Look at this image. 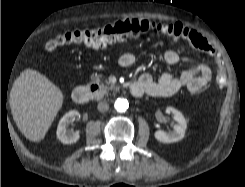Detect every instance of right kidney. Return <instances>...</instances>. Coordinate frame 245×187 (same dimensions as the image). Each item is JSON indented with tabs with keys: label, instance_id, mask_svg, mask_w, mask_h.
<instances>
[{
	"label": "right kidney",
	"instance_id": "obj_1",
	"mask_svg": "<svg viewBox=\"0 0 245 187\" xmlns=\"http://www.w3.org/2000/svg\"><path fill=\"white\" fill-rule=\"evenodd\" d=\"M79 116H80V114L78 111L71 110V111L67 112L60 119V121L58 123L56 134H57V138L63 144H73L79 140V138H80L79 132H75L73 130L68 129L70 122Z\"/></svg>",
	"mask_w": 245,
	"mask_h": 187
}]
</instances>
